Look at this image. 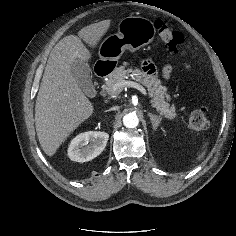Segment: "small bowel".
<instances>
[{
	"instance_id": "1",
	"label": "small bowel",
	"mask_w": 236,
	"mask_h": 236,
	"mask_svg": "<svg viewBox=\"0 0 236 236\" xmlns=\"http://www.w3.org/2000/svg\"><path fill=\"white\" fill-rule=\"evenodd\" d=\"M143 68L148 74L154 73V66L150 60H147L143 63ZM171 73H172V67L170 65H166L162 70V74L165 79H168Z\"/></svg>"
}]
</instances>
